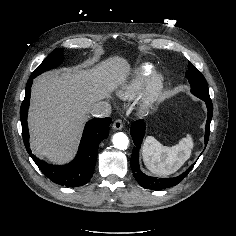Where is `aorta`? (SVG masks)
<instances>
[{"label": "aorta", "mask_w": 236, "mask_h": 236, "mask_svg": "<svg viewBox=\"0 0 236 236\" xmlns=\"http://www.w3.org/2000/svg\"><path fill=\"white\" fill-rule=\"evenodd\" d=\"M112 141H113L114 147L117 149L125 150L128 148L129 139L127 135L122 132H118L114 134Z\"/></svg>", "instance_id": "aorta-1"}]
</instances>
